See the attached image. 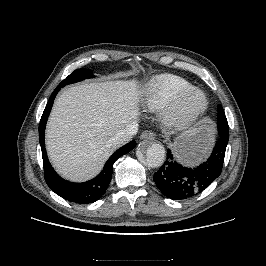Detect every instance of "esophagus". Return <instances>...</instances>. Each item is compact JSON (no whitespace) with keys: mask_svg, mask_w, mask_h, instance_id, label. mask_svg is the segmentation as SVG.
Returning a JSON list of instances; mask_svg holds the SVG:
<instances>
[{"mask_svg":"<svg viewBox=\"0 0 266 266\" xmlns=\"http://www.w3.org/2000/svg\"><path fill=\"white\" fill-rule=\"evenodd\" d=\"M140 139H146V140H154L155 139V133L152 131H144L140 135Z\"/></svg>","mask_w":266,"mask_h":266,"instance_id":"obj_1","label":"esophagus"}]
</instances>
